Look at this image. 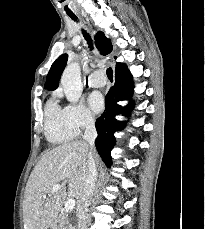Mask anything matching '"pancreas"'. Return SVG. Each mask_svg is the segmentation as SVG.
<instances>
[{
	"mask_svg": "<svg viewBox=\"0 0 205 229\" xmlns=\"http://www.w3.org/2000/svg\"><path fill=\"white\" fill-rule=\"evenodd\" d=\"M51 229H71V224L65 214H60Z\"/></svg>",
	"mask_w": 205,
	"mask_h": 229,
	"instance_id": "obj_1",
	"label": "pancreas"
}]
</instances>
